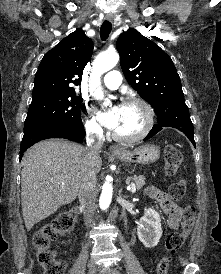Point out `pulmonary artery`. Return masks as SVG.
Here are the masks:
<instances>
[{
  "mask_svg": "<svg viewBox=\"0 0 221 274\" xmlns=\"http://www.w3.org/2000/svg\"><path fill=\"white\" fill-rule=\"evenodd\" d=\"M121 81V74L116 70L108 72L103 78V84L111 90L117 89Z\"/></svg>",
  "mask_w": 221,
  "mask_h": 274,
  "instance_id": "obj_1",
  "label": "pulmonary artery"
}]
</instances>
